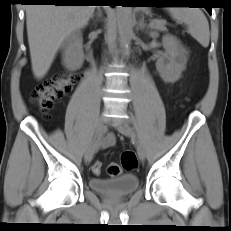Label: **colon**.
<instances>
[{"label":"colon","mask_w":231,"mask_h":231,"mask_svg":"<svg viewBox=\"0 0 231 231\" xmlns=\"http://www.w3.org/2000/svg\"><path fill=\"white\" fill-rule=\"evenodd\" d=\"M79 80L77 73L54 75L52 78L38 85L32 92V98L42 112L47 113L54 102L68 94ZM138 167V159L134 151H125L121 155V165L111 163L107 167L110 176H118L121 170L131 171ZM103 165L100 161L92 164L91 170L95 175L101 173Z\"/></svg>","instance_id":"5ec220e1"}]
</instances>
